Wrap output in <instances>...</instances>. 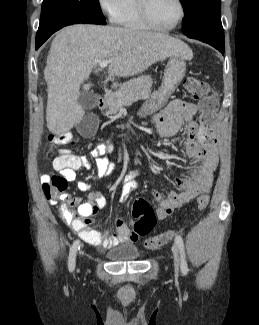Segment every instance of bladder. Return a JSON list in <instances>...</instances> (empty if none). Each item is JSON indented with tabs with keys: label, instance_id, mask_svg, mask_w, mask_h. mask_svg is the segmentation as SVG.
I'll return each mask as SVG.
<instances>
[{
	"label": "bladder",
	"instance_id": "31cf9c89",
	"mask_svg": "<svg viewBox=\"0 0 259 325\" xmlns=\"http://www.w3.org/2000/svg\"><path fill=\"white\" fill-rule=\"evenodd\" d=\"M107 257L114 262L136 260L141 253L137 246L126 244L118 245L109 249L106 253Z\"/></svg>",
	"mask_w": 259,
	"mask_h": 325
}]
</instances>
